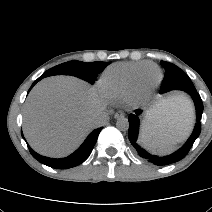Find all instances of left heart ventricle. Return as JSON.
Listing matches in <instances>:
<instances>
[{"label":"left heart ventricle","mask_w":212,"mask_h":212,"mask_svg":"<svg viewBox=\"0 0 212 212\" xmlns=\"http://www.w3.org/2000/svg\"><path fill=\"white\" fill-rule=\"evenodd\" d=\"M156 71L154 69H148L145 72V86H151L156 80Z\"/></svg>","instance_id":"obj_1"}]
</instances>
